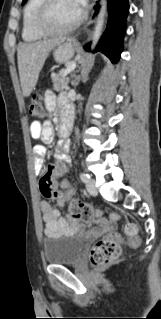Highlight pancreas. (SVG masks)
Instances as JSON below:
<instances>
[{
    "instance_id": "pancreas-1",
    "label": "pancreas",
    "mask_w": 161,
    "mask_h": 319,
    "mask_svg": "<svg viewBox=\"0 0 161 319\" xmlns=\"http://www.w3.org/2000/svg\"><path fill=\"white\" fill-rule=\"evenodd\" d=\"M64 70L59 71L58 73H53L51 75L53 82V89L55 91H62L65 89L69 83V78L64 76Z\"/></svg>"
}]
</instances>
